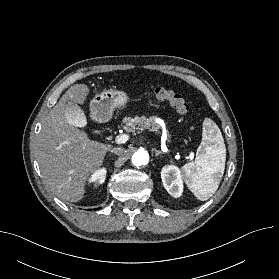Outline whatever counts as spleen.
<instances>
[{"mask_svg":"<svg viewBox=\"0 0 279 279\" xmlns=\"http://www.w3.org/2000/svg\"><path fill=\"white\" fill-rule=\"evenodd\" d=\"M225 160L226 147L221 131L206 118L196 158L182 167L183 178L198 200H208L217 191L224 174Z\"/></svg>","mask_w":279,"mask_h":279,"instance_id":"3e777b00","label":"spleen"}]
</instances>
